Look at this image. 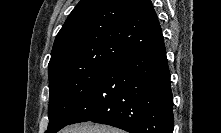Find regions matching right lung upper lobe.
<instances>
[{
	"label": "right lung upper lobe",
	"instance_id": "right-lung-upper-lobe-1",
	"mask_svg": "<svg viewBox=\"0 0 221 133\" xmlns=\"http://www.w3.org/2000/svg\"><path fill=\"white\" fill-rule=\"evenodd\" d=\"M163 41L150 0H81L56 36L48 74L112 65Z\"/></svg>",
	"mask_w": 221,
	"mask_h": 133
}]
</instances>
